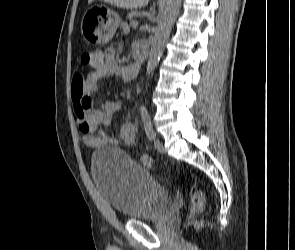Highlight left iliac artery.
Wrapping results in <instances>:
<instances>
[{"label":"left iliac artery","mask_w":295,"mask_h":250,"mask_svg":"<svg viewBox=\"0 0 295 250\" xmlns=\"http://www.w3.org/2000/svg\"><path fill=\"white\" fill-rule=\"evenodd\" d=\"M141 118L144 126V130L146 132V135L150 141L154 138V132L152 128V123L150 119V115L148 113V110L145 107L141 108Z\"/></svg>","instance_id":"obj_1"}]
</instances>
